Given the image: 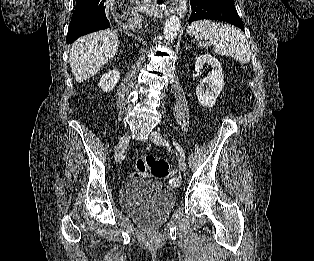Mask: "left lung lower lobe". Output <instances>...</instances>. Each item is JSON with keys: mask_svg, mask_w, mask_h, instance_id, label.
I'll list each match as a JSON object with an SVG mask.
<instances>
[{"mask_svg": "<svg viewBox=\"0 0 314 261\" xmlns=\"http://www.w3.org/2000/svg\"><path fill=\"white\" fill-rule=\"evenodd\" d=\"M190 3L192 9L190 22L200 19L220 20L233 24L245 32L233 0H190Z\"/></svg>", "mask_w": 314, "mask_h": 261, "instance_id": "left-lung-lower-lobe-1", "label": "left lung lower lobe"}]
</instances>
